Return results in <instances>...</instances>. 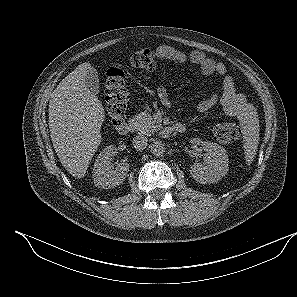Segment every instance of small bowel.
<instances>
[{
  "label": "small bowel",
  "mask_w": 297,
  "mask_h": 297,
  "mask_svg": "<svg viewBox=\"0 0 297 297\" xmlns=\"http://www.w3.org/2000/svg\"><path fill=\"white\" fill-rule=\"evenodd\" d=\"M159 59L176 65L193 64L197 66L203 75L210 76L217 74L221 78V95H212L198 103L196 110L200 113L206 112L218 105L228 116L239 117L247 106L246 98L236 91L234 81L227 74L226 66L221 62H216L201 51L187 53L169 45H160L156 48ZM159 101L166 107H171L172 103L167 89L160 86L157 90Z\"/></svg>",
  "instance_id": "obj_1"
}]
</instances>
